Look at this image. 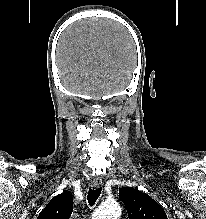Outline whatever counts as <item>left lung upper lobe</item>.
I'll return each instance as SVG.
<instances>
[{
	"label": "left lung upper lobe",
	"mask_w": 206,
	"mask_h": 219,
	"mask_svg": "<svg viewBox=\"0 0 206 219\" xmlns=\"http://www.w3.org/2000/svg\"><path fill=\"white\" fill-rule=\"evenodd\" d=\"M129 219H167L164 209L147 194L131 188H119Z\"/></svg>",
	"instance_id": "obj_1"
}]
</instances>
